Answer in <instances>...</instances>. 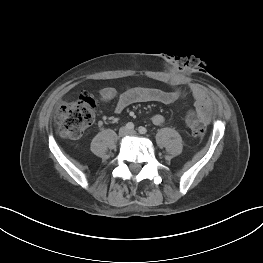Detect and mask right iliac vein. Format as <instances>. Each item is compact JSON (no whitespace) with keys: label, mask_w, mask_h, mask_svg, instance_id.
I'll use <instances>...</instances> for the list:
<instances>
[{"label":"right iliac vein","mask_w":263,"mask_h":263,"mask_svg":"<svg viewBox=\"0 0 263 263\" xmlns=\"http://www.w3.org/2000/svg\"><path fill=\"white\" fill-rule=\"evenodd\" d=\"M129 131L126 127H122L119 130V137H125L126 135H128Z\"/></svg>","instance_id":"1"}]
</instances>
